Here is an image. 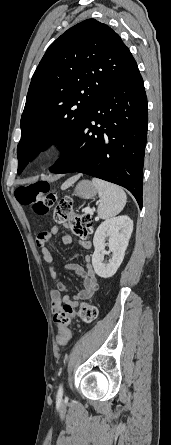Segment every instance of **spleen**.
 <instances>
[{
    "instance_id": "1",
    "label": "spleen",
    "mask_w": 171,
    "mask_h": 445,
    "mask_svg": "<svg viewBox=\"0 0 171 445\" xmlns=\"http://www.w3.org/2000/svg\"><path fill=\"white\" fill-rule=\"evenodd\" d=\"M93 185L96 187L100 204L98 206V215L102 219H109L119 214L127 201V196L122 188L115 184L93 178Z\"/></svg>"
}]
</instances>
